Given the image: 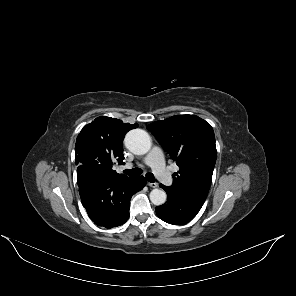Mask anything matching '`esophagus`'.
<instances>
[{
  "mask_svg": "<svg viewBox=\"0 0 296 296\" xmlns=\"http://www.w3.org/2000/svg\"><path fill=\"white\" fill-rule=\"evenodd\" d=\"M147 185L151 188H156L158 187V184L157 183H151V182H148Z\"/></svg>",
  "mask_w": 296,
  "mask_h": 296,
  "instance_id": "1",
  "label": "esophagus"
}]
</instances>
